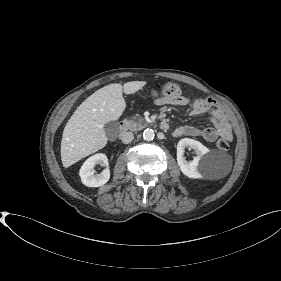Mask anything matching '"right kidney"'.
I'll return each mask as SVG.
<instances>
[{
  "label": "right kidney",
  "instance_id": "1",
  "mask_svg": "<svg viewBox=\"0 0 281 281\" xmlns=\"http://www.w3.org/2000/svg\"><path fill=\"white\" fill-rule=\"evenodd\" d=\"M97 164L107 166L100 174L94 175V167ZM81 181L88 187H100L110 179V171L108 169V158L103 153H98L89 157L82 165L79 171Z\"/></svg>",
  "mask_w": 281,
  "mask_h": 281
}]
</instances>
